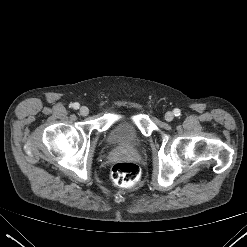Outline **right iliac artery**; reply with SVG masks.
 Wrapping results in <instances>:
<instances>
[{
	"label": "right iliac artery",
	"mask_w": 247,
	"mask_h": 247,
	"mask_svg": "<svg viewBox=\"0 0 247 247\" xmlns=\"http://www.w3.org/2000/svg\"><path fill=\"white\" fill-rule=\"evenodd\" d=\"M79 103H74V104H72V107L74 108V109H78L79 108Z\"/></svg>",
	"instance_id": "82829eb1"
}]
</instances>
